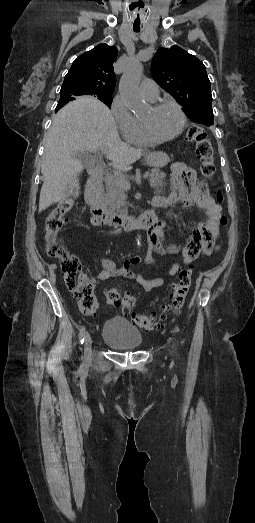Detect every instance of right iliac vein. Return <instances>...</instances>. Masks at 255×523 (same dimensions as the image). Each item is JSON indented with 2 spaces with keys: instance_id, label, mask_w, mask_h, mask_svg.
<instances>
[{
  "instance_id": "63e3f726",
  "label": "right iliac vein",
  "mask_w": 255,
  "mask_h": 523,
  "mask_svg": "<svg viewBox=\"0 0 255 523\" xmlns=\"http://www.w3.org/2000/svg\"><path fill=\"white\" fill-rule=\"evenodd\" d=\"M92 339L90 334H86L84 341V356L86 360H89L92 353Z\"/></svg>"
}]
</instances>
